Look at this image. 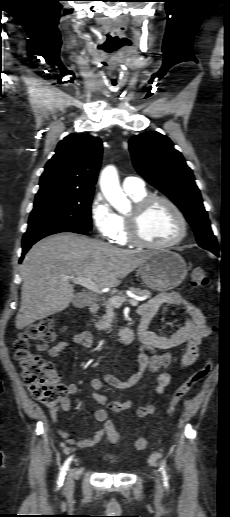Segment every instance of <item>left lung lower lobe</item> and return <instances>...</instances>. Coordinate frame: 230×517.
I'll return each mask as SVG.
<instances>
[{"mask_svg": "<svg viewBox=\"0 0 230 517\" xmlns=\"http://www.w3.org/2000/svg\"><path fill=\"white\" fill-rule=\"evenodd\" d=\"M212 252H213L215 255H217V256L219 255V253H218V249H217V250H212Z\"/></svg>", "mask_w": 230, "mask_h": 517, "instance_id": "obj_1", "label": "left lung lower lobe"}]
</instances>
